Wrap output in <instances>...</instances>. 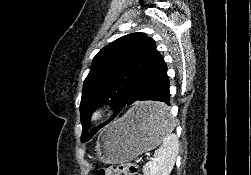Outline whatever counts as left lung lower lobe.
I'll return each mask as SVG.
<instances>
[{"label":"left lung lower lobe","instance_id":"left-lung-lower-lobe-1","mask_svg":"<svg viewBox=\"0 0 251 175\" xmlns=\"http://www.w3.org/2000/svg\"><path fill=\"white\" fill-rule=\"evenodd\" d=\"M169 87L167 66L162 58L152 70L138 81L126 103L112 104L115 108V115L110 120L119 113H126L130 118L141 121L166 120L170 115L168 106L171 105ZM137 101H158L162 103L141 105L137 104Z\"/></svg>","mask_w":251,"mask_h":175}]
</instances>
